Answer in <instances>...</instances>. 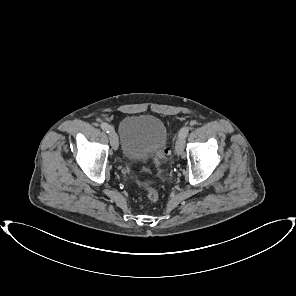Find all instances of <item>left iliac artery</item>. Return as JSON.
Wrapping results in <instances>:
<instances>
[{
    "instance_id": "44dca946",
    "label": "left iliac artery",
    "mask_w": 296,
    "mask_h": 296,
    "mask_svg": "<svg viewBox=\"0 0 296 296\" xmlns=\"http://www.w3.org/2000/svg\"><path fill=\"white\" fill-rule=\"evenodd\" d=\"M189 127H183L180 132H179V136L186 138L189 132Z\"/></svg>"
}]
</instances>
